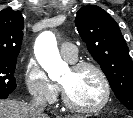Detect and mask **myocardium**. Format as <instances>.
<instances>
[{"label":"myocardium","mask_w":133,"mask_h":118,"mask_svg":"<svg viewBox=\"0 0 133 118\" xmlns=\"http://www.w3.org/2000/svg\"><path fill=\"white\" fill-rule=\"evenodd\" d=\"M71 68L73 70H82L87 68L94 70L98 74L102 82L103 89H104V96H103V99L96 105L89 106V107L79 106L74 104L71 101V99L66 93L64 86L61 84L62 100L64 105L73 112L84 113V114L95 113L102 110L104 107H106L111 99V85L104 70L98 64L89 62V61L75 62L72 64Z\"/></svg>","instance_id":"obj_1"}]
</instances>
